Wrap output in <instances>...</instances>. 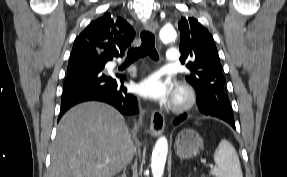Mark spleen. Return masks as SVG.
I'll return each mask as SVG.
<instances>
[{
    "label": "spleen",
    "instance_id": "obj_1",
    "mask_svg": "<svg viewBox=\"0 0 287 177\" xmlns=\"http://www.w3.org/2000/svg\"><path fill=\"white\" fill-rule=\"evenodd\" d=\"M213 158L216 167L210 173L215 177H243L238 154L226 139L220 141Z\"/></svg>",
    "mask_w": 287,
    "mask_h": 177
}]
</instances>
